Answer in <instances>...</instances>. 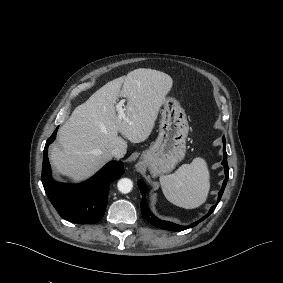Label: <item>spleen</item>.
<instances>
[{"label": "spleen", "instance_id": "1", "mask_svg": "<svg viewBox=\"0 0 283 283\" xmlns=\"http://www.w3.org/2000/svg\"><path fill=\"white\" fill-rule=\"evenodd\" d=\"M209 178L206 161L197 157L190 164H183L174 174L161 176L160 183L169 202L193 209L206 201L210 188Z\"/></svg>", "mask_w": 283, "mask_h": 283}]
</instances>
